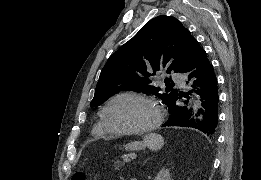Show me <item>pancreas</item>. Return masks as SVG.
<instances>
[{"label":"pancreas","instance_id":"1","mask_svg":"<svg viewBox=\"0 0 261 180\" xmlns=\"http://www.w3.org/2000/svg\"><path fill=\"white\" fill-rule=\"evenodd\" d=\"M112 165L115 170H124V165L121 159H115Z\"/></svg>","mask_w":261,"mask_h":180}]
</instances>
